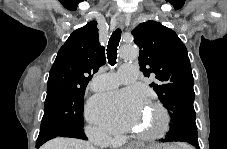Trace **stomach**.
I'll return each instance as SVG.
<instances>
[{
    "mask_svg": "<svg viewBox=\"0 0 227 149\" xmlns=\"http://www.w3.org/2000/svg\"><path fill=\"white\" fill-rule=\"evenodd\" d=\"M151 149H174V148H170V147H157V148H151Z\"/></svg>",
    "mask_w": 227,
    "mask_h": 149,
    "instance_id": "obj_1",
    "label": "stomach"
}]
</instances>
